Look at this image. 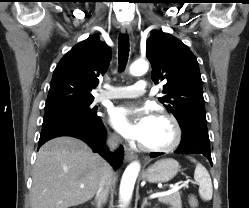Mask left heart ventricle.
I'll return each instance as SVG.
<instances>
[{
  "instance_id": "left-heart-ventricle-1",
  "label": "left heart ventricle",
  "mask_w": 249,
  "mask_h": 208,
  "mask_svg": "<svg viewBox=\"0 0 249 208\" xmlns=\"http://www.w3.org/2000/svg\"><path fill=\"white\" fill-rule=\"evenodd\" d=\"M172 138L173 130L169 122L154 117L149 134L143 144L153 147L164 146L168 144Z\"/></svg>"
}]
</instances>
